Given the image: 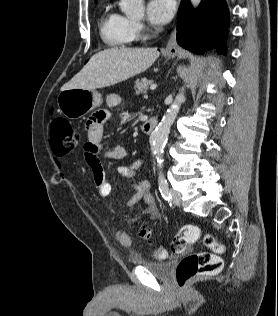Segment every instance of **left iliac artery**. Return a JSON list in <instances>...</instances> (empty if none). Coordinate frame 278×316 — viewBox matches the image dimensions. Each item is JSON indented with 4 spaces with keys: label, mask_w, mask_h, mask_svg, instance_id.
Wrapping results in <instances>:
<instances>
[{
    "label": "left iliac artery",
    "mask_w": 278,
    "mask_h": 316,
    "mask_svg": "<svg viewBox=\"0 0 278 316\" xmlns=\"http://www.w3.org/2000/svg\"><path fill=\"white\" fill-rule=\"evenodd\" d=\"M158 185L162 197L169 202L172 199V196L169 191L167 180L165 179L162 171L159 172Z\"/></svg>",
    "instance_id": "left-iliac-artery-1"
}]
</instances>
